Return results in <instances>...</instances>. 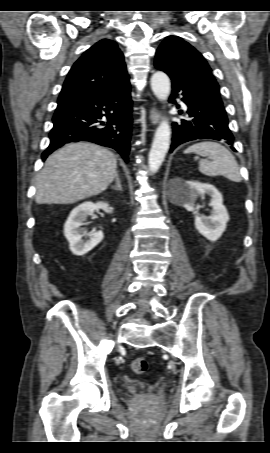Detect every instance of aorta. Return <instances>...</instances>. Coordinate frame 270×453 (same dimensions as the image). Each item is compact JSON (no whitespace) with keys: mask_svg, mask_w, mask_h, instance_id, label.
I'll use <instances>...</instances> for the list:
<instances>
[{"mask_svg":"<svg viewBox=\"0 0 270 453\" xmlns=\"http://www.w3.org/2000/svg\"><path fill=\"white\" fill-rule=\"evenodd\" d=\"M151 88L158 100H167L171 90L169 77L162 71L155 72L151 77ZM170 136V125L164 119L156 129L149 152L148 166L152 173H156L159 170L165 159L170 145Z\"/></svg>","mask_w":270,"mask_h":453,"instance_id":"762f6f07","label":"aorta"}]
</instances>
